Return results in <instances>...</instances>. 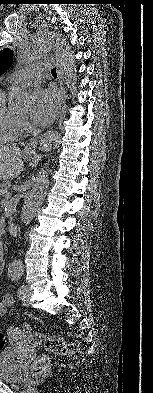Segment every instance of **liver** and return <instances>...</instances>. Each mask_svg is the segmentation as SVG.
Instances as JSON below:
<instances>
[{"mask_svg": "<svg viewBox=\"0 0 153 393\" xmlns=\"http://www.w3.org/2000/svg\"><path fill=\"white\" fill-rule=\"evenodd\" d=\"M24 153L15 145L0 146V180L18 177L24 168Z\"/></svg>", "mask_w": 153, "mask_h": 393, "instance_id": "liver-1", "label": "liver"}]
</instances>
